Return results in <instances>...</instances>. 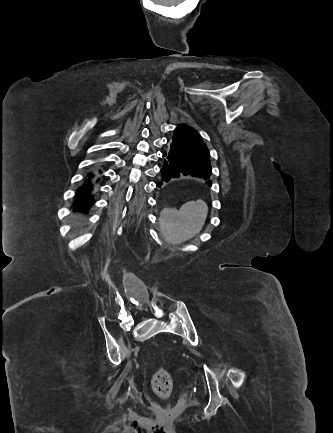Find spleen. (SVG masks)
Wrapping results in <instances>:
<instances>
[{"label":"spleen","instance_id":"spleen-1","mask_svg":"<svg viewBox=\"0 0 333 433\" xmlns=\"http://www.w3.org/2000/svg\"><path fill=\"white\" fill-rule=\"evenodd\" d=\"M208 207L204 201L187 203L184 207L168 206L161 213L159 227L161 236L168 244H181L202 230Z\"/></svg>","mask_w":333,"mask_h":433}]
</instances>
